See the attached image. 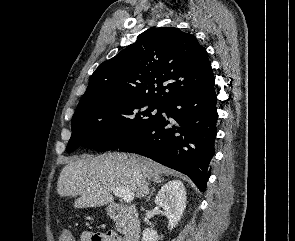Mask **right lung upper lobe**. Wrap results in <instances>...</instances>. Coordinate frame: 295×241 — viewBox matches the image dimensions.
<instances>
[{"label": "right lung upper lobe", "mask_w": 295, "mask_h": 241, "mask_svg": "<svg viewBox=\"0 0 295 241\" xmlns=\"http://www.w3.org/2000/svg\"><path fill=\"white\" fill-rule=\"evenodd\" d=\"M213 81L206 49L194 35L175 27L152 28L95 70L81 100L118 96L163 106Z\"/></svg>", "instance_id": "right-lung-upper-lobe-1"}]
</instances>
